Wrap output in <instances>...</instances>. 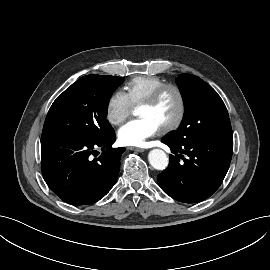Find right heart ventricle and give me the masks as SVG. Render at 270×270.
Instances as JSON below:
<instances>
[{
  "instance_id": "obj_1",
  "label": "right heart ventricle",
  "mask_w": 270,
  "mask_h": 270,
  "mask_svg": "<svg viewBox=\"0 0 270 270\" xmlns=\"http://www.w3.org/2000/svg\"><path fill=\"white\" fill-rule=\"evenodd\" d=\"M164 83L166 81L157 76H136L126 84V90L133 104L139 105Z\"/></svg>"
}]
</instances>
